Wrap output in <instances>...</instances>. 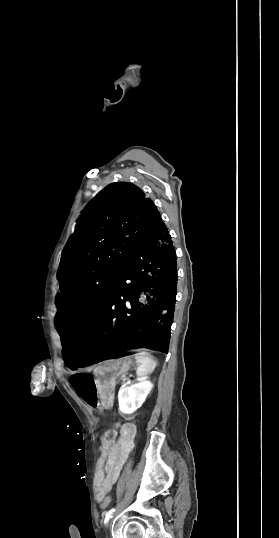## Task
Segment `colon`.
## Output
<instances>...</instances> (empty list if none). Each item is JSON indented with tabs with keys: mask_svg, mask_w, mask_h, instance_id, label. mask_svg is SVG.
<instances>
[{
	"mask_svg": "<svg viewBox=\"0 0 279 538\" xmlns=\"http://www.w3.org/2000/svg\"><path fill=\"white\" fill-rule=\"evenodd\" d=\"M116 436H117V433L114 431V430H109L107 432H105L102 436V443L104 444H111L115 441L116 439ZM100 459H101V456L100 458L98 459V462H97V477H99L100 473H101V463H100ZM111 500H110V497L106 496L102 499V507L103 508H106L109 506Z\"/></svg>",
	"mask_w": 279,
	"mask_h": 538,
	"instance_id": "1",
	"label": "colon"
}]
</instances>
